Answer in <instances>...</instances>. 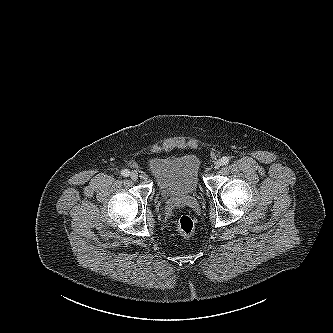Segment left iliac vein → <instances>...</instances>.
<instances>
[{"mask_svg": "<svg viewBox=\"0 0 333 333\" xmlns=\"http://www.w3.org/2000/svg\"><path fill=\"white\" fill-rule=\"evenodd\" d=\"M221 165H222L221 160H218V161L215 162L214 168L219 169L221 167Z\"/></svg>", "mask_w": 333, "mask_h": 333, "instance_id": "obj_1", "label": "left iliac vein"}]
</instances>
